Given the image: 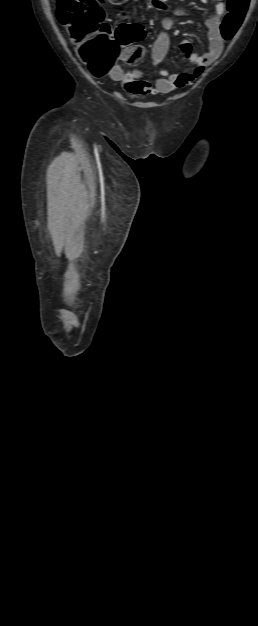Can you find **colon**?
I'll return each mask as SVG.
<instances>
[{
  "mask_svg": "<svg viewBox=\"0 0 258 626\" xmlns=\"http://www.w3.org/2000/svg\"><path fill=\"white\" fill-rule=\"evenodd\" d=\"M126 0H57L56 17L66 27L80 60L94 76H103L121 57L137 62L144 48L134 42L144 36L140 24H121L113 32L105 22L102 4L122 5ZM250 0H227V12L220 24V35L230 40L241 26ZM113 35V36H111ZM121 47H126L121 51Z\"/></svg>",
  "mask_w": 258,
  "mask_h": 626,
  "instance_id": "5ec220e1",
  "label": "colon"
}]
</instances>
